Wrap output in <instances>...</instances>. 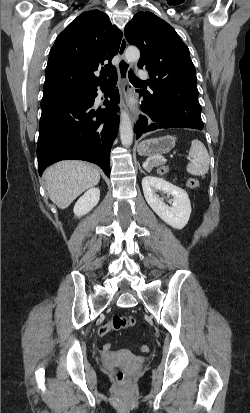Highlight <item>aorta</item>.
Masks as SVG:
<instances>
[{
  "instance_id": "aorta-1",
  "label": "aorta",
  "mask_w": 250,
  "mask_h": 413,
  "mask_svg": "<svg viewBox=\"0 0 250 413\" xmlns=\"http://www.w3.org/2000/svg\"><path fill=\"white\" fill-rule=\"evenodd\" d=\"M139 57L140 51L136 47H128L125 51V59L129 63L138 61ZM119 130L122 145L129 147L133 142V127L131 119L125 111L121 112Z\"/></svg>"
}]
</instances>
